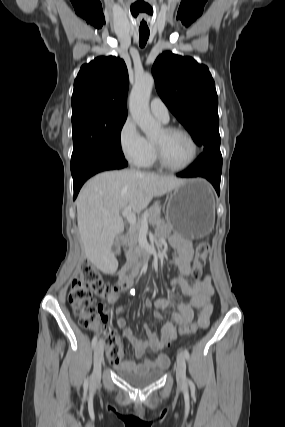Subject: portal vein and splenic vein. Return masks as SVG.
Segmentation results:
<instances>
[{
	"instance_id": "18ae733b",
	"label": "portal vein and splenic vein",
	"mask_w": 285,
	"mask_h": 427,
	"mask_svg": "<svg viewBox=\"0 0 285 427\" xmlns=\"http://www.w3.org/2000/svg\"><path fill=\"white\" fill-rule=\"evenodd\" d=\"M122 215L125 218H127L128 222L131 226H133L137 223L136 214L134 212H132L130 205L126 206L122 210ZM147 216L148 215L146 214L141 221V231H147L148 230Z\"/></svg>"
}]
</instances>
